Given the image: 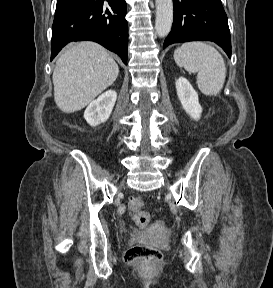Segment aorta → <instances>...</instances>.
I'll return each instance as SVG.
<instances>
[{"label":"aorta","mask_w":273,"mask_h":288,"mask_svg":"<svg viewBox=\"0 0 273 288\" xmlns=\"http://www.w3.org/2000/svg\"><path fill=\"white\" fill-rule=\"evenodd\" d=\"M156 20L155 30L159 37H166L171 30L173 21V1L155 0Z\"/></svg>","instance_id":"aorta-1"}]
</instances>
